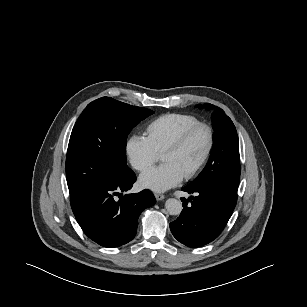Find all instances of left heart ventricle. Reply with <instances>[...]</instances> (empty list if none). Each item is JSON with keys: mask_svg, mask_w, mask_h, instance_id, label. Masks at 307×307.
Wrapping results in <instances>:
<instances>
[{"mask_svg": "<svg viewBox=\"0 0 307 307\" xmlns=\"http://www.w3.org/2000/svg\"><path fill=\"white\" fill-rule=\"evenodd\" d=\"M205 130L196 131L177 151L167 153L162 157L164 163L176 166L184 175L191 171L200 161L207 147Z\"/></svg>", "mask_w": 307, "mask_h": 307, "instance_id": "left-heart-ventricle-1", "label": "left heart ventricle"}]
</instances>
